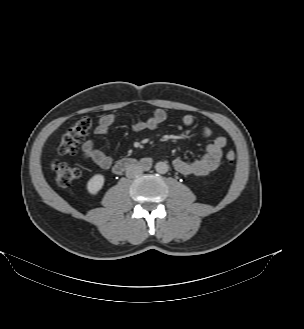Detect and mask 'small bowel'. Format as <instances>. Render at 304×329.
<instances>
[{
    "instance_id": "obj_1",
    "label": "small bowel",
    "mask_w": 304,
    "mask_h": 329,
    "mask_svg": "<svg viewBox=\"0 0 304 329\" xmlns=\"http://www.w3.org/2000/svg\"><path fill=\"white\" fill-rule=\"evenodd\" d=\"M166 119L167 112L163 109H156L150 117L133 122L130 124V127L135 132L152 131L157 129ZM122 121L123 119L116 114H105L99 118L95 134L106 137L109 135L110 127ZM182 122L185 126L191 127L195 124V117L193 114H186L183 116ZM211 135L212 132L208 127L202 128L199 132L200 137H210ZM226 143L225 137L216 136L206 145L205 154L202 157L191 161L175 159L173 167L178 173L183 175L196 177L207 175L218 168ZM82 154L84 158L93 161L102 169H108L112 165V158L96 148L93 140L89 139L83 142Z\"/></svg>"
}]
</instances>
